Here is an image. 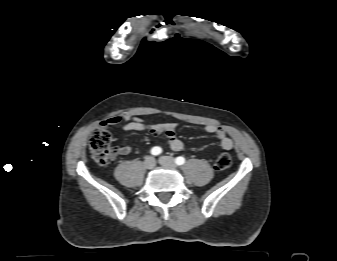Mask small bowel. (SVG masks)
<instances>
[{"label":"small bowel","mask_w":337,"mask_h":261,"mask_svg":"<svg viewBox=\"0 0 337 261\" xmlns=\"http://www.w3.org/2000/svg\"><path fill=\"white\" fill-rule=\"evenodd\" d=\"M122 121L123 129L125 131H147L151 135L165 140L174 151H182L185 147L184 142L176 135L177 124L173 122L149 124L135 117L127 116L122 119L121 117L113 116L102 121L100 123V127L107 128L109 126L118 125ZM205 131L214 135L219 140L220 146L224 150H230L233 148V141L230 137H228L224 128L208 124L205 126ZM116 151L120 155H127L131 152V147L128 145H122L117 147Z\"/></svg>","instance_id":"1"}]
</instances>
